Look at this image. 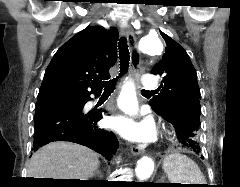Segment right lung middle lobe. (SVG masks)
I'll use <instances>...</instances> for the list:
<instances>
[{"instance_id": "dd1d6c3e", "label": "right lung middle lobe", "mask_w": 240, "mask_h": 187, "mask_svg": "<svg viewBox=\"0 0 240 187\" xmlns=\"http://www.w3.org/2000/svg\"><path fill=\"white\" fill-rule=\"evenodd\" d=\"M51 104H62L65 105L69 108H77L80 107L83 104L82 98H73V99H63V100H59V101H55L46 105H40L36 107V111L49 106Z\"/></svg>"}]
</instances>
